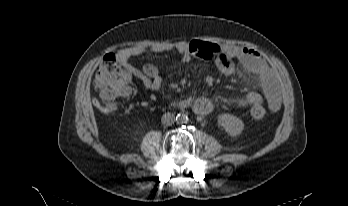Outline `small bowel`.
<instances>
[{
  "mask_svg": "<svg viewBox=\"0 0 348 206\" xmlns=\"http://www.w3.org/2000/svg\"><path fill=\"white\" fill-rule=\"evenodd\" d=\"M145 51L152 53L177 52L181 55L183 62H188L192 58L212 61L225 74L233 72L234 62L238 61L246 71L253 73L258 78L267 100L268 109L271 112H276L280 108L281 94L277 78L260 55L252 49L235 46L223 47L207 41L192 40L189 42L160 43L142 48L139 51L124 50L118 54V57L127 63L131 55ZM130 70L146 91L156 92L161 87L162 78L159 74H150L134 67H130ZM239 101L244 105H260L263 102V97L256 91H249L243 94Z\"/></svg>",
  "mask_w": 348,
  "mask_h": 206,
  "instance_id": "c3829d8e",
  "label": "small bowel"
}]
</instances>
